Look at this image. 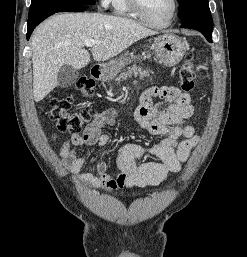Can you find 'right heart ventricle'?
I'll list each match as a JSON object with an SVG mask.
<instances>
[{"label": "right heart ventricle", "instance_id": "obj_1", "mask_svg": "<svg viewBox=\"0 0 247 257\" xmlns=\"http://www.w3.org/2000/svg\"><path fill=\"white\" fill-rule=\"evenodd\" d=\"M114 13L125 16H135L127 0H112L111 2Z\"/></svg>", "mask_w": 247, "mask_h": 257}]
</instances>
